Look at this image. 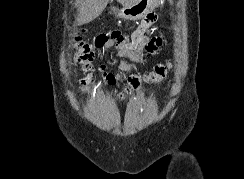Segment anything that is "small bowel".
I'll return each instance as SVG.
<instances>
[{
  "label": "small bowel",
  "mask_w": 244,
  "mask_h": 179,
  "mask_svg": "<svg viewBox=\"0 0 244 179\" xmlns=\"http://www.w3.org/2000/svg\"><path fill=\"white\" fill-rule=\"evenodd\" d=\"M157 4V3H156ZM156 14V13H155ZM138 21L137 28L130 36L125 35L119 30H114L106 34H101L95 41L98 50H108L115 48L117 50L118 65L122 71H131L136 69L138 64L144 62V54H155L164 43L161 36H153L151 34L153 25L157 22L158 16L155 18H130ZM128 58L134 62L129 64L125 62ZM105 70V65L101 67ZM107 81L111 84L122 80L121 73L105 72Z\"/></svg>",
  "instance_id": "obj_1"
}]
</instances>
